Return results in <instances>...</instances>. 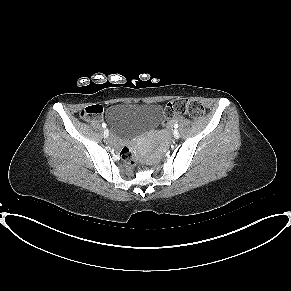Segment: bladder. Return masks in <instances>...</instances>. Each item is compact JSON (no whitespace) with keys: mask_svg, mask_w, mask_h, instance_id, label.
<instances>
[{"mask_svg":"<svg viewBox=\"0 0 291 291\" xmlns=\"http://www.w3.org/2000/svg\"><path fill=\"white\" fill-rule=\"evenodd\" d=\"M113 135L119 139H131L154 128L163 119V109L157 104L113 103L105 115Z\"/></svg>","mask_w":291,"mask_h":291,"instance_id":"31cf9c89","label":"bladder"}]
</instances>
